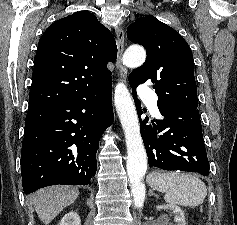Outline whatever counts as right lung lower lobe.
Returning <instances> with one entry per match:
<instances>
[{
	"instance_id": "obj_1",
	"label": "right lung lower lobe",
	"mask_w": 237,
	"mask_h": 225,
	"mask_svg": "<svg viewBox=\"0 0 237 225\" xmlns=\"http://www.w3.org/2000/svg\"><path fill=\"white\" fill-rule=\"evenodd\" d=\"M111 82L70 100L28 108L21 153L23 190L88 185L99 139L113 122Z\"/></svg>"
}]
</instances>
